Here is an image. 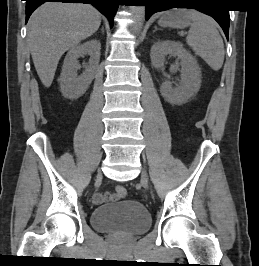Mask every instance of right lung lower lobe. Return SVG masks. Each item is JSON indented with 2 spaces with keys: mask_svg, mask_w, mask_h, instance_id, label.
<instances>
[{
  "mask_svg": "<svg viewBox=\"0 0 259 266\" xmlns=\"http://www.w3.org/2000/svg\"><path fill=\"white\" fill-rule=\"evenodd\" d=\"M26 1V22L32 12L44 2H62V3H84L92 4L109 20L111 27L113 26V17L117 11L120 0H25Z\"/></svg>",
  "mask_w": 259,
  "mask_h": 266,
  "instance_id": "right-lung-lower-lobe-1",
  "label": "right lung lower lobe"
}]
</instances>
